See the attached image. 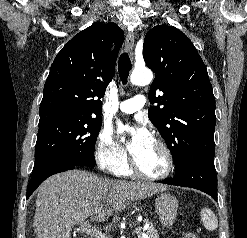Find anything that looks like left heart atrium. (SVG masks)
Masks as SVG:
<instances>
[{"label": "left heart atrium", "instance_id": "obj_1", "mask_svg": "<svg viewBox=\"0 0 247 238\" xmlns=\"http://www.w3.org/2000/svg\"><path fill=\"white\" fill-rule=\"evenodd\" d=\"M152 141L153 138L149 130L141 124L137 125L133 129L132 138L128 143V150L135 156Z\"/></svg>", "mask_w": 247, "mask_h": 238}]
</instances>
